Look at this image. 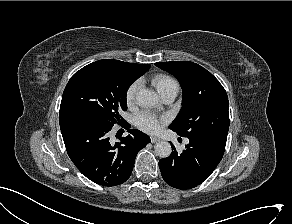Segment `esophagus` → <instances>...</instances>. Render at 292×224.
<instances>
[{
  "label": "esophagus",
  "instance_id": "esophagus-1",
  "mask_svg": "<svg viewBox=\"0 0 292 224\" xmlns=\"http://www.w3.org/2000/svg\"><path fill=\"white\" fill-rule=\"evenodd\" d=\"M161 139L159 137H156V136H151V142L152 143H157L159 142Z\"/></svg>",
  "mask_w": 292,
  "mask_h": 224
}]
</instances>
